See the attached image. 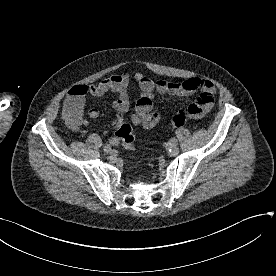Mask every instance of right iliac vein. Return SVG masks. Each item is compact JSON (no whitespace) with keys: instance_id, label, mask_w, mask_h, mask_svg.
Here are the masks:
<instances>
[{"instance_id":"right-iliac-vein-1","label":"right iliac vein","mask_w":276,"mask_h":276,"mask_svg":"<svg viewBox=\"0 0 276 276\" xmlns=\"http://www.w3.org/2000/svg\"><path fill=\"white\" fill-rule=\"evenodd\" d=\"M104 151H105L106 153H111V151H112V146L109 145V144L105 145V146H104Z\"/></svg>"}]
</instances>
